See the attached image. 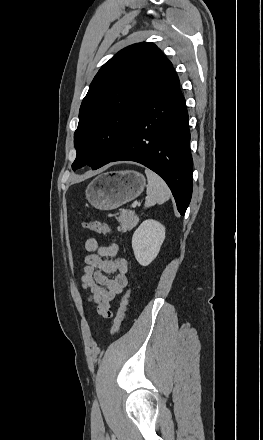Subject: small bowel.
<instances>
[{
  "label": "small bowel",
  "instance_id": "1",
  "mask_svg": "<svg viewBox=\"0 0 263 440\" xmlns=\"http://www.w3.org/2000/svg\"><path fill=\"white\" fill-rule=\"evenodd\" d=\"M89 254L84 258L81 283L89 291V301L96 305L97 314L103 318L113 315V301L128 284V263L118 255V246H101L94 238L85 242ZM109 278L108 274H114Z\"/></svg>",
  "mask_w": 263,
  "mask_h": 440
}]
</instances>
